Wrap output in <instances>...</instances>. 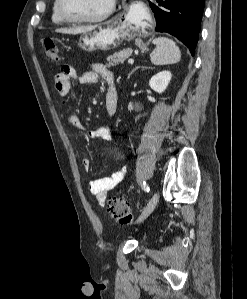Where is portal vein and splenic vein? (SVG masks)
Masks as SVG:
<instances>
[{"instance_id":"1","label":"portal vein and splenic vein","mask_w":247,"mask_h":299,"mask_svg":"<svg viewBox=\"0 0 247 299\" xmlns=\"http://www.w3.org/2000/svg\"><path fill=\"white\" fill-rule=\"evenodd\" d=\"M128 63H129V64H133V63H134V60H133V59H129V60H128Z\"/></svg>"}]
</instances>
